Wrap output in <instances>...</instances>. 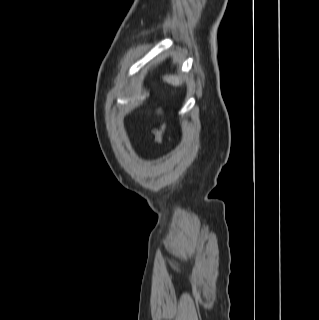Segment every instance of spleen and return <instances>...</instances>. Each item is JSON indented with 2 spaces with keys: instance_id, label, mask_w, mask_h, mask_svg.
Wrapping results in <instances>:
<instances>
[{
  "instance_id": "obj_1",
  "label": "spleen",
  "mask_w": 319,
  "mask_h": 320,
  "mask_svg": "<svg viewBox=\"0 0 319 320\" xmlns=\"http://www.w3.org/2000/svg\"><path fill=\"white\" fill-rule=\"evenodd\" d=\"M163 79L173 86H180L182 84L181 79L177 76H164Z\"/></svg>"
}]
</instances>
